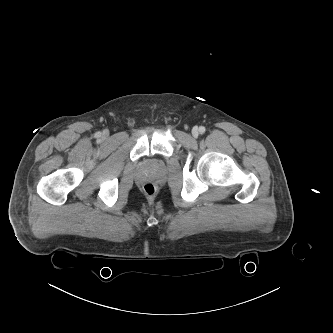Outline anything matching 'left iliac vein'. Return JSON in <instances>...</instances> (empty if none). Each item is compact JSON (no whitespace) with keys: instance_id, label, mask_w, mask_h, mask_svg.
<instances>
[{"instance_id":"1","label":"left iliac vein","mask_w":333,"mask_h":333,"mask_svg":"<svg viewBox=\"0 0 333 333\" xmlns=\"http://www.w3.org/2000/svg\"><path fill=\"white\" fill-rule=\"evenodd\" d=\"M192 135L194 136V137H198V135H199V130H198V128H193V130H192Z\"/></svg>"}]
</instances>
